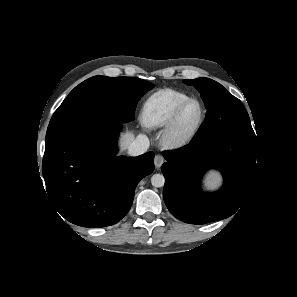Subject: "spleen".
Masks as SVG:
<instances>
[{"label": "spleen", "instance_id": "obj_1", "mask_svg": "<svg viewBox=\"0 0 297 297\" xmlns=\"http://www.w3.org/2000/svg\"><path fill=\"white\" fill-rule=\"evenodd\" d=\"M211 179H216L217 178V176L215 175V174H211Z\"/></svg>", "mask_w": 297, "mask_h": 297}]
</instances>
